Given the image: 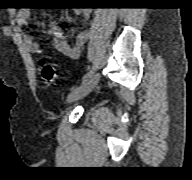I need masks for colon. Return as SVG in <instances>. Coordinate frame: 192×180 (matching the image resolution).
<instances>
[{
    "mask_svg": "<svg viewBox=\"0 0 192 180\" xmlns=\"http://www.w3.org/2000/svg\"><path fill=\"white\" fill-rule=\"evenodd\" d=\"M40 72L46 84H54L57 81V73L55 69L44 60L40 62Z\"/></svg>",
    "mask_w": 192,
    "mask_h": 180,
    "instance_id": "obj_1",
    "label": "colon"
}]
</instances>
